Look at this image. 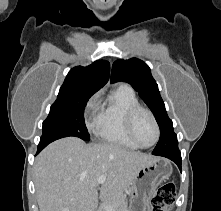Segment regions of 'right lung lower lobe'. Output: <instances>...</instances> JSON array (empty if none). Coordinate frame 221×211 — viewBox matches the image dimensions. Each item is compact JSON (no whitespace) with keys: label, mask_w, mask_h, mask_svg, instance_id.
<instances>
[{"label":"right lung lower lobe","mask_w":221,"mask_h":211,"mask_svg":"<svg viewBox=\"0 0 221 211\" xmlns=\"http://www.w3.org/2000/svg\"><path fill=\"white\" fill-rule=\"evenodd\" d=\"M47 145H48V143H45V144H39V145H38L37 154H38L43 148H45Z\"/></svg>","instance_id":"1"}]
</instances>
